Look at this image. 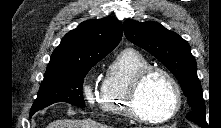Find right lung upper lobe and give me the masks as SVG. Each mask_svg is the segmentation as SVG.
Listing matches in <instances>:
<instances>
[{"label": "right lung upper lobe", "mask_w": 221, "mask_h": 128, "mask_svg": "<svg viewBox=\"0 0 221 128\" xmlns=\"http://www.w3.org/2000/svg\"><path fill=\"white\" fill-rule=\"evenodd\" d=\"M122 24L116 18L88 20L68 32L52 53L47 71L104 58L120 42Z\"/></svg>", "instance_id": "1"}]
</instances>
